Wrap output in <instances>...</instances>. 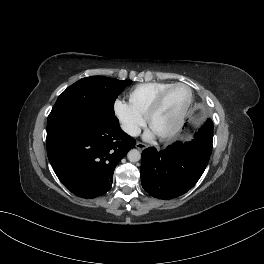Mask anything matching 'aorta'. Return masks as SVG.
<instances>
[{"label":"aorta","mask_w":264,"mask_h":264,"mask_svg":"<svg viewBox=\"0 0 264 264\" xmlns=\"http://www.w3.org/2000/svg\"><path fill=\"white\" fill-rule=\"evenodd\" d=\"M127 157L131 162H137L141 159V153L137 149H132L128 152Z\"/></svg>","instance_id":"aorta-1"}]
</instances>
